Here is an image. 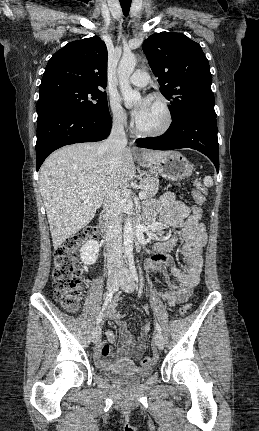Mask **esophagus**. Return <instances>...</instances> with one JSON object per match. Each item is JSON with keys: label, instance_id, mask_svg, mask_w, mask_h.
Here are the masks:
<instances>
[{"label": "esophagus", "instance_id": "obj_1", "mask_svg": "<svg viewBox=\"0 0 259 431\" xmlns=\"http://www.w3.org/2000/svg\"><path fill=\"white\" fill-rule=\"evenodd\" d=\"M132 151L134 154H138V147L134 143H132Z\"/></svg>", "mask_w": 259, "mask_h": 431}]
</instances>
